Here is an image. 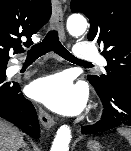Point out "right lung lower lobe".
Returning <instances> with one entry per match:
<instances>
[{
    "label": "right lung lower lobe",
    "mask_w": 131,
    "mask_h": 151,
    "mask_svg": "<svg viewBox=\"0 0 131 151\" xmlns=\"http://www.w3.org/2000/svg\"><path fill=\"white\" fill-rule=\"evenodd\" d=\"M0 117L17 125L32 138L40 137V128L35 108L21 93L17 82L0 78Z\"/></svg>",
    "instance_id": "98d812e1"
}]
</instances>
